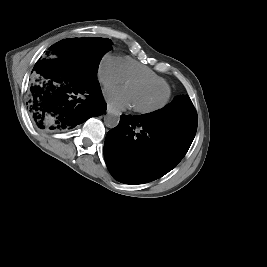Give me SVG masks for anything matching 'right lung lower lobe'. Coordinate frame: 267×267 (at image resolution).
Instances as JSON below:
<instances>
[{
	"mask_svg": "<svg viewBox=\"0 0 267 267\" xmlns=\"http://www.w3.org/2000/svg\"><path fill=\"white\" fill-rule=\"evenodd\" d=\"M33 70L28 108L38 128L67 131L106 111L99 82L76 73L66 59L50 56Z\"/></svg>",
	"mask_w": 267,
	"mask_h": 267,
	"instance_id": "right-lung-lower-lobe-1",
	"label": "right lung lower lobe"
}]
</instances>
